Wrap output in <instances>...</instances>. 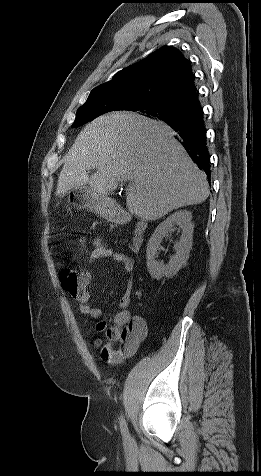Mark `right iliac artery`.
<instances>
[{
  "mask_svg": "<svg viewBox=\"0 0 261 476\" xmlns=\"http://www.w3.org/2000/svg\"><path fill=\"white\" fill-rule=\"evenodd\" d=\"M120 428H121V433L123 438L127 440L129 438V432H128L126 421L123 418V416H121V419H120Z\"/></svg>",
  "mask_w": 261,
  "mask_h": 476,
  "instance_id": "obj_1",
  "label": "right iliac artery"
}]
</instances>
